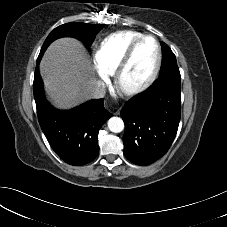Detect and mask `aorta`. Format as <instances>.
<instances>
[{"instance_id": "762f6f07", "label": "aorta", "mask_w": 227, "mask_h": 227, "mask_svg": "<svg viewBox=\"0 0 227 227\" xmlns=\"http://www.w3.org/2000/svg\"><path fill=\"white\" fill-rule=\"evenodd\" d=\"M108 128L111 132L120 133L124 129V122L119 117H111L108 120Z\"/></svg>"}]
</instances>
